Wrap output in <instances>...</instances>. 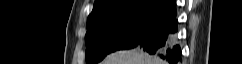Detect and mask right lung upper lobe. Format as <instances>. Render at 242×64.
Instances as JSON below:
<instances>
[{"mask_svg":"<svg viewBox=\"0 0 242 64\" xmlns=\"http://www.w3.org/2000/svg\"><path fill=\"white\" fill-rule=\"evenodd\" d=\"M175 6V0H95L87 23L108 14L134 10H150L165 14Z\"/></svg>","mask_w":242,"mask_h":64,"instance_id":"obj_1","label":"right lung upper lobe"}]
</instances>
